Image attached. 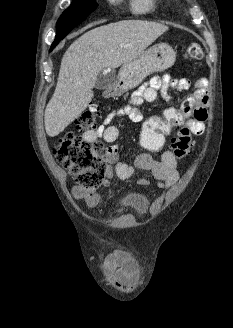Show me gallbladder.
<instances>
[{
    "instance_id": "gallbladder-1",
    "label": "gallbladder",
    "mask_w": 233,
    "mask_h": 328,
    "mask_svg": "<svg viewBox=\"0 0 233 328\" xmlns=\"http://www.w3.org/2000/svg\"><path fill=\"white\" fill-rule=\"evenodd\" d=\"M115 79L114 70L104 69L101 71L96 79L95 88L102 90L106 89Z\"/></svg>"
}]
</instances>
